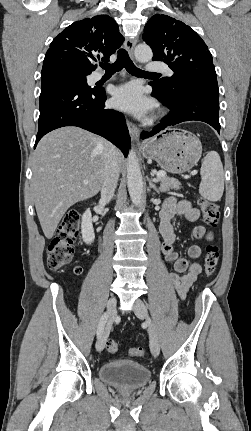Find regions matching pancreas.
I'll use <instances>...</instances> for the list:
<instances>
[{"instance_id":"obj_1","label":"pancreas","mask_w":251,"mask_h":431,"mask_svg":"<svg viewBox=\"0 0 251 431\" xmlns=\"http://www.w3.org/2000/svg\"><path fill=\"white\" fill-rule=\"evenodd\" d=\"M158 181L160 182L159 189L161 192H167L170 189L179 190L181 188V183L177 179L168 177L167 175L158 178Z\"/></svg>"}]
</instances>
